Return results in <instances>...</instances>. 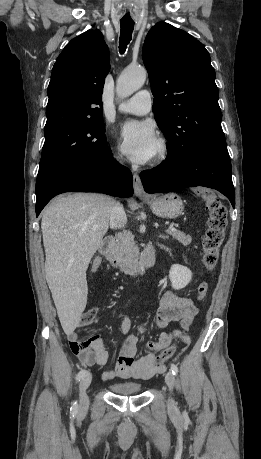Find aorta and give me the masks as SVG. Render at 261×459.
I'll return each mask as SVG.
<instances>
[{"label": "aorta", "mask_w": 261, "mask_h": 459, "mask_svg": "<svg viewBox=\"0 0 261 459\" xmlns=\"http://www.w3.org/2000/svg\"><path fill=\"white\" fill-rule=\"evenodd\" d=\"M146 69L142 67L127 68L119 76L116 84L118 97L126 98L139 90L145 83Z\"/></svg>", "instance_id": "762f6f07"}]
</instances>
